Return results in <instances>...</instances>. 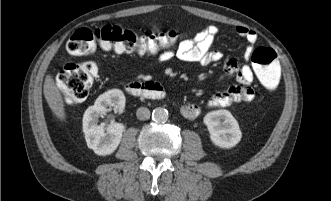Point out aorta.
Masks as SVG:
<instances>
[{
	"label": "aorta",
	"mask_w": 331,
	"mask_h": 201,
	"mask_svg": "<svg viewBox=\"0 0 331 201\" xmlns=\"http://www.w3.org/2000/svg\"><path fill=\"white\" fill-rule=\"evenodd\" d=\"M168 111L163 107H157L152 112V119L155 122H166L168 120Z\"/></svg>",
	"instance_id": "aorta-1"
}]
</instances>
